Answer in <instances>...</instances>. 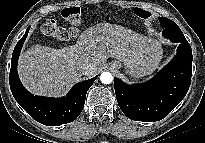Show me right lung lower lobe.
<instances>
[{
    "label": "right lung lower lobe",
    "instance_id": "obj_1",
    "mask_svg": "<svg viewBox=\"0 0 205 143\" xmlns=\"http://www.w3.org/2000/svg\"><path fill=\"white\" fill-rule=\"evenodd\" d=\"M29 29L30 27L27 28L24 36L18 41L12 54L9 76L11 92L19 105L37 122L47 126L70 123L81 113L87 91L97 76L76 84L68 95L63 98L40 97L29 93L22 86L17 73L18 57Z\"/></svg>",
    "mask_w": 205,
    "mask_h": 143
}]
</instances>
